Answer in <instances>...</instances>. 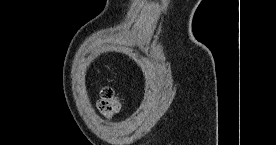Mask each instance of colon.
Here are the masks:
<instances>
[{
  "label": "colon",
  "mask_w": 276,
  "mask_h": 145,
  "mask_svg": "<svg viewBox=\"0 0 276 145\" xmlns=\"http://www.w3.org/2000/svg\"><path fill=\"white\" fill-rule=\"evenodd\" d=\"M99 111L108 118L115 116L121 109V102L115 96L111 87H104L100 92L98 101Z\"/></svg>",
  "instance_id": "1"
}]
</instances>
